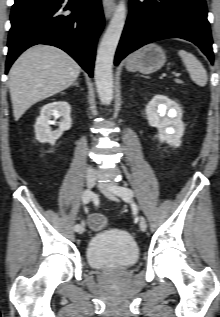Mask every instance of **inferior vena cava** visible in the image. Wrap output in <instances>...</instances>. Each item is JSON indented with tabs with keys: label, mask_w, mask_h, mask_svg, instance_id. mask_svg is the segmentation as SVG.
I'll return each mask as SVG.
<instances>
[{
	"label": "inferior vena cava",
	"mask_w": 220,
	"mask_h": 317,
	"mask_svg": "<svg viewBox=\"0 0 220 317\" xmlns=\"http://www.w3.org/2000/svg\"><path fill=\"white\" fill-rule=\"evenodd\" d=\"M89 171H91V172H92V171H93V169L89 168Z\"/></svg>",
	"instance_id": "1"
}]
</instances>
